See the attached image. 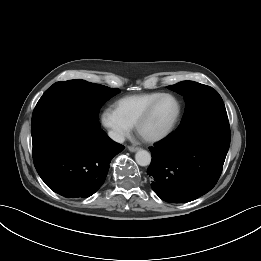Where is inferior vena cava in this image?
<instances>
[{
	"instance_id": "1",
	"label": "inferior vena cava",
	"mask_w": 261,
	"mask_h": 261,
	"mask_svg": "<svg viewBox=\"0 0 261 261\" xmlns=\"http://www.w3.org/2000/svg\"><path fill=\"white\" fill-rule=\"evenodd\" d=\"M108 136L118 143H123L125 141V138L122 134L115 132V131H109Z\"/></svg>"
}]
</instances>
